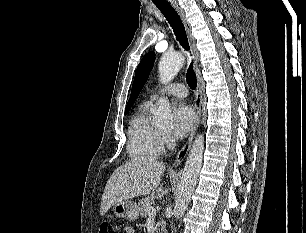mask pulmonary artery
Wrapping results in <instances>:
<instances>
[{
  "label": "pulmonary artery",
  "mask_w": 306,
  "mask_h": 233,
  "mask_svg": "<svg viewBox=\"0 0 306 233\" xmlns=\"http://www.w3.org/2000/svg\"><path fill=\"white\" fill-rule=\"evenodd\" d=\"M187 94H188V90L185 85L173 84V85L160 89L157 93L152 94L149 97L147 102L152 103L156 101L162 95H171V96H175L178 98H184L187 96Z\"/></svg>",
  "instance_id": "e3ab8cb5"
}]
</instances>
